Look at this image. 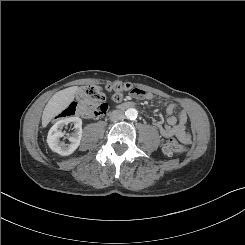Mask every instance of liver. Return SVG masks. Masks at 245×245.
Masks as SVG:
<instances>
[{"instance_id":"obj_1","label":"liver","mask_w":245,"mask_h":245,"mask_svg":"<svg viewBox=\"0 0 245 245\" xmlns=\"http://www.w3.org/2000/svg\"><path fill=\"white\" fill-rule=\"evenodd\" d=\"M78 87L73 86L55 93L46 104L42 114V126L46 127L48 123L59 113H61L71 101L74 100Z\"/></svg>"}]
</instances>
